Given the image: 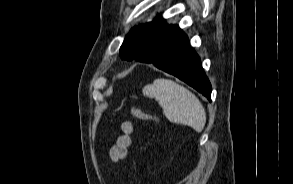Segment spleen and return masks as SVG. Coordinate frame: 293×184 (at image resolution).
<instances>
[{
	"mask_svg": "<svg viewBox=\"0 0 293 184\" xmlns=\"http://www.w3.org/2000/svg\"><path fill=\"white\" fill-rule=\"evenodd\" d=\"M142 93L158 101L169 121L188 125L197 132L204 129L205 109L195 94L184 86L173 80L160 78L146 85Z\"/></svg>",
	"mask_w": 293,
	"mask_h": 184,
	"instance_id": "obj_1",
	"label": "spleen"
}]
</instances>
